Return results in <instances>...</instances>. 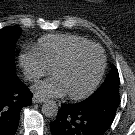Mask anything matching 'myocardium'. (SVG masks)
<instances>
[{
	"label": "myocardium",
	"mask_w": 135,
	"mask_h": 135,
	"mask_svg": "<svg viewBox=\"0 0 135 135\" xmlns=\"http://www.w3.org/2000/svg\"><path fill=\"white\" fill-rule=\"evenodd\" d=\"M92 48L98 49L101 53L102 62H101L99 73L97 77L95 78V80L92 82V84L82 93H79V94L68 93L69 98L73 100H81L88 97L96 90V88L100 84L104 76L106 65H107V57L103 48L100 45L94 44V43L79 46L73 49L72 51H70L66 56L58 60L52 67V73L54 74L57 69L69 64L78 54H80L81 52L87 49H92Z\"/></svg>",
	"instance_id": "myocardium-1"
}]
</instances>
